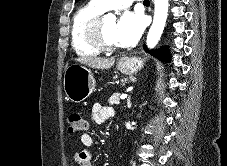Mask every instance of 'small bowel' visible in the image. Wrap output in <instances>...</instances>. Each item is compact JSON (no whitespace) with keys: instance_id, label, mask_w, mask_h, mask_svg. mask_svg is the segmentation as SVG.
I'll return each mask as SVG.
<instances>
[{"instance_id":"1","label":"small bowel","mask_w":227,"mask_h":166,"mask_svg":"<svg viewBox=\"0 0 227 166\" xmlns=\"http://www.w3.org/2000/svg\"><path fill=\"white\" fill-rule=\"evenodd\" d=\"M114 116V109L109 106H103L100 103H95L92 106V117L98 124L104 123L106 120ZM81 142L86 147L95 145L94 137L89 133H84L81 136ZM92 151L85 148L75 153L74 159L79 166H92Z\"/></svg>"}]
</instances>
